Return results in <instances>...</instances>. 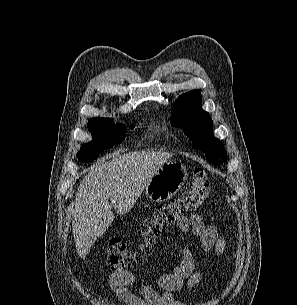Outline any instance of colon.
Listing matches in <instances>:
<instances>
[{
    "mask_svg": "<svg viewBox=\"0 0 297 305\" xmlns=\"http://www.w3.org/2000/svg\"><path fill=\"white\" fill-rule=\"evenodd\" d=\"M210 193V183L202 170L195 171L187 190L178 199L160 205L147 217L139 231V244L131 250L118 237L108 243L107 259L113 271H123L138 265L150 251L154 241L182 217L200 210Z\"/></svg>",
    "mask_w": 297,
    "mask_h": 305,
    "instance_id": "1",
    "label": "colon"
}]
</instances>
